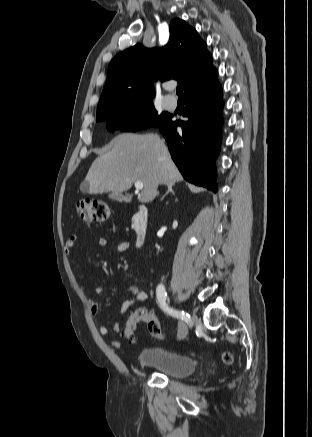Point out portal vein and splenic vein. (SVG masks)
Instances as JSON below:
<instances>
[{
  "instance_id": "portal-vein-and-splenic-vein-1",
  "label": "portal vein and splenic vein",
  "mask_w": 312,
  "mask_h": 437,
  "mask_svg": "<svg viewBox=\"0 0 312 437\" xmlns=\"http://www.w3.org/2000/svg\"><path fill=\"white\" fill-rule=\"evenodd\" d=\"M134 185H135V188H136L137 190H142V189H143V183H142L141 181H136V182L134 183Z\"/></svg>"
}]
</instances>
